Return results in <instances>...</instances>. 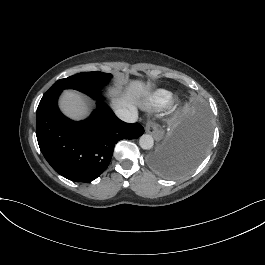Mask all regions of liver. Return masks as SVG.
Instances as JSON below:
<instances>
[{
    "label": "liver",
    "mask_w": 265,
    "mask_h": 265,
    "mask_svg": "<svg viewBox=\"0 0 265 265\" xmlns=\"http://www.w3.org/2000/svg\"><path fill=\"white\" fill-rule=\"evenodd\" d=\"M150 84L142 81H131L126 87L124 93L116 99L112 100V108H127L130 111L136 109L140 99L148 100L150 95ZM59 106L62 112L73 120H81L89 114V108L79 94L74 91L66 90L59 100Z\"/></svg>",
    "instance_id": "obj_1"
}]
</instances>
